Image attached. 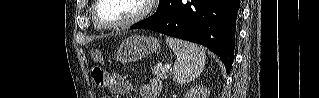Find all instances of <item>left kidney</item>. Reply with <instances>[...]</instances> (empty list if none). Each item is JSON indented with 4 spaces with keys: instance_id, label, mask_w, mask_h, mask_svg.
<instances>
[{
    "instance_id": "5707ae66",
    "label": "left kidney",
    "mask_w": 319,
    "mask_h": 98,
    "mask_svg": "<svg viewBox=\"0 0 319 98\" xmlns=\"http://www.w3.org/2000/svg\"><path fill=\"white\" fill-rule=\"evenodd\" d=\"M184 98H208V89L206 86H196L188 90Z\"/></svg>"
}]
</instances>
